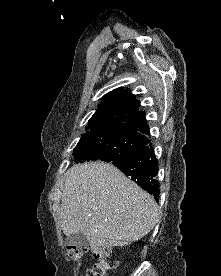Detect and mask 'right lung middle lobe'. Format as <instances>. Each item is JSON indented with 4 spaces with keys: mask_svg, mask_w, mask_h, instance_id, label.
<instances>
[{
    "mask_svg": "<svg viewBox=\"0 0 221 276\" xmlns=\"http://www.w3.org/2000/svg\"><path fill=\"white\" fill-rule=\"evenodd\" d=\"M145 138L124 133H109L82 139L74 149L75 163L102 160L112 162L126 157L144 144Z\"/></svg>",
    "mask_w": 221,
    "mask_h": 276,
    "instance_id": "1",
    "label": "right lung middle lobe"
}]
</instances>
